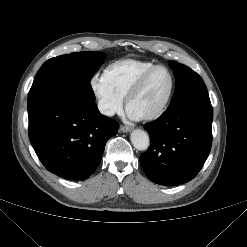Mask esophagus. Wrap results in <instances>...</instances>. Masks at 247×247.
<instances>
[{
	"label": "esophagus",
	"mask_w": 247,
	"mask_h": 247,
	"mask_svg": "<svg viewBox=\"0 0 247 247\" xmlns=\"http://www.w3.org/2000/svg\"><path fill=\"white\" fill-rule=\"evenodd\" d=\"M132 130V128L131 127H129V126H121L120 127V131L121 132H129V131H131Z\"/></svg>",
	"instance_id": "34e87169"
}]
</instances>
